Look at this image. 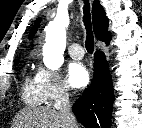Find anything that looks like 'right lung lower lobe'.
<instances>
[{"mask_svg": "<svg viewBox=\"0 0 142 128\" xmlns=\"http://www.w3.org/2000/svg\"><path fill=\"white\" fill-rule=\"evenodd\" d=\"M90 88L74 103L72 110L85 128H110L114 94L105 56L97 51Z\"/></svg>", "mask_w": 142, "mask_h": 128, "instance_id": "1", "label": "right lung lower lobe"}]
</instances>
